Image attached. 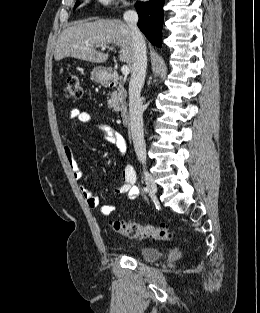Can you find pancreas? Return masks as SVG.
Listing matches in <instances>:
<instances>
[{"label":"pancreas","instance_id":"cf45deb5","mask_svg":"<svg viewBox=\"0 0 260 313\" xmlns=\"http://www.w3.org/2000/svg\"><path fill=\"white\" fill-rule=\"evenodd\" d=\"M126 96L127 93L122 87V84H119L117 90H114L110 95L108 107L113 108V111L115 112L124 110L126 108Z\"/></svg>","mask_w":260,"mask_h":313}]
</instances>
